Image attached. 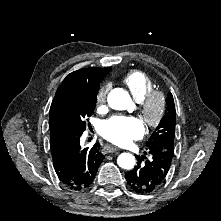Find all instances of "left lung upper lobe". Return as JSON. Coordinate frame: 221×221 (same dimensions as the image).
<instances>
[{
  "instance_id": "left-lung-upper-lobe-1",
  "label": "left lung upper lobe",
  "mask_w": 221,
  "mask_h": 221,
  "mask_svg": "<svg viewBox=\"0 0 221 221\" xmlns=\"http://www.w3.org/2000/svg\"><path fill=\"white\" fill-rule=\"evenodd\" d=\"M167 108L165 116L162 118L160 124L149 138L146 146L147 148H154L157 146H168L174 150V137H175V122L176 111L174 99L171 93L166 98Z\"/></svg>"
}]
</instances>
